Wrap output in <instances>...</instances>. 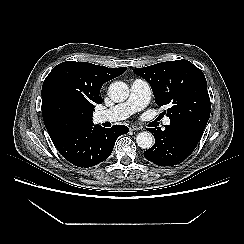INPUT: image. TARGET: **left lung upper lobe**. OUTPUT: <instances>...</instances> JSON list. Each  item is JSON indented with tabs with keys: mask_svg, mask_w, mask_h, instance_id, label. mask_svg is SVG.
Returning a JSON list of instances; mask_svg holds the SVG:
<instances>
[{
	"mask_svg": "<svg viewBox=\"0 0 244 244\" xmlns=\"http://www.w3.org/2000/svg\"><path fill=\"white\" fill-rule=\"evenodd\" d=\"M149 82L158 106L169 105L170 126L201 136L210 117V98L203 72L187 60H176L135 68Z\"/></svg>",
	"mask_w": 244,
	"mask_h": 244,
	"instance_id": "obj_1",
	"label": "left lung upper lobe"
}]
</instances>
